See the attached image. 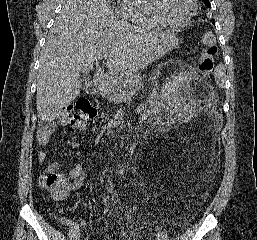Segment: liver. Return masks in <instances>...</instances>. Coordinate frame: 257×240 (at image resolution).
Returning <instances> with one entry per match:
<instances>
[{
	"instance_id": "6515ba94",
	"label": "liver",
	"mask_w": 257,
	"mask_h": 240,
	"mask_svg": "<svg viewBox=\"0 0 257 240\" xmlns=\"http://www.w3.org/2000/svg\"><path fill=\"white\" fill-rule=\"evenodd\" d=\"M165 35L116 17L104 0H67L55 19L40 56L37 113L54 118L80 93V73L107 54V77L123 73Z\"/></svg>"
}]
</instances>
